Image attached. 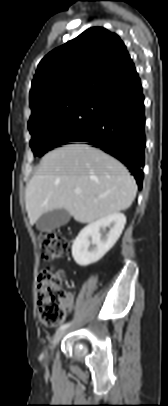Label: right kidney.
Here are the masks:
<instances>
[{
    "instance_id": "1",
    "label": "right kidney",
    "mask_w": 168,
    "mask_h": 406,
    "mask_svg": "<svg viewBox=\"0 0 168 406\" xmlns=\"http://www.w3.org/2000/svg\"><path fill=\"white\" fill-rule=\"evenodd\" d=\"M125 224V215L116 212L83 228L72 245L75 262L80 266H88L99 261L117 242ZM107 227L109 231L103 236L100 231Z\"/></svg>"
}]
</instances>
